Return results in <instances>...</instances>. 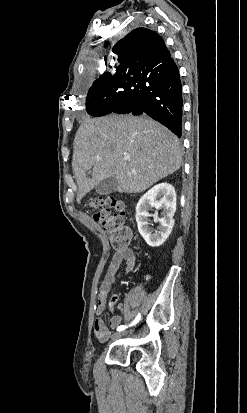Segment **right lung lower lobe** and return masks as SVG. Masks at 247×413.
Here are the masks:
<instances>
[{
    "label": "right lung lower lobe",
    "instance_id": "98d812e1",
    "mask_svg": "<svg viewBox=\"0 0 247 413\" xmlns=\"http://www.w3.org/2000/svg\"><path fill=\"white\" fill-rule=\"evenodd\" d=\"M122 81V92L107 102L100 116L145 113L181 137L182 89L173 59L157 72L130 75Z\"/></svg>",
    "mask_w": 247,
    "mask_h": 413
}]
</instances>
